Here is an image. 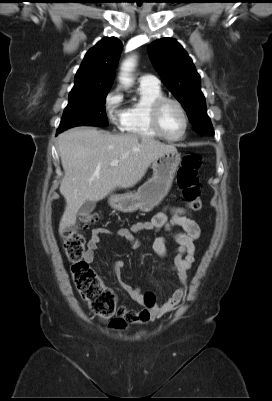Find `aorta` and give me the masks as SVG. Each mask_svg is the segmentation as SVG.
I'll list each match as a JSON object with an SVG mask.
<instances>
[{
	"label": "aorta",
	"instance_id": "762f6f07",
	"mask_svg": "<svg viewBox=\"0 0 272 401\" xmlns=\"http://www.w3.org/2000/svg\"><path fill=\"white\" fill-rule=\"evenodd\" d=\"M135 66V59L133 57L125 60L122 64L121 67V73H120V82L126 87H130L133 80L130 77V72L133 70Z\"/></svg>",
	"mask_w": 272,
	"mask_h": 401
}]
</instances>
